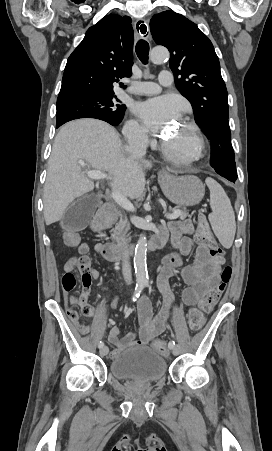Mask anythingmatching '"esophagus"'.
<instances>
[{
	"label": "esophagus",
	"mask_w": 272,
	"mask_h": 451,
	"mask_svg": "<svg viewBox=\"0 0 272 451\" xmlns=\"http://www.w3.org/2000/svg\"><path fill=\"white\" fill-rule=\"evenodd\" d=\"M142 19H138L137 20V22H136V24H137V27H139L138 28V33L140 34V35H142V36H148V33H147V29H145V28H141L139 25H141L142 24ZM141 22V23H140ZM138 23H139V25H138ZM163 171H165L164 169H162Z\"/></svg>",
	"instance_id": "esophagus-1"
}]
</instances>
